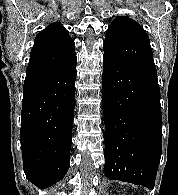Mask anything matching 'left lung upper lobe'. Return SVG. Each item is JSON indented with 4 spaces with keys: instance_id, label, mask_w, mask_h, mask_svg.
Returning <instances> with one entry per match:
<instances>
[{
    "instance_id": "1",
    "label": "left lung upper lobe",
    "mask_w": 178,
    "mask_h": 195,
    "mask_svg": "<svg viewBox=\"0 0 178 195\" xmlns=\"http://www.w3.org/2000/svg\"><path fill=\"white\" fill-rule=\"evenodd\" d=\"M104 55L157 76L149 37L128 17H116L108 27Z\"/></svg>"
}]
</instances>
